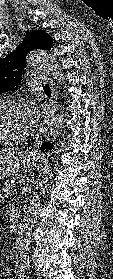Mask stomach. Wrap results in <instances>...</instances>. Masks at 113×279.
<instances>
[{
    "label": "stomach",
    "instance_id": "0dacf381",
    "mask_svg": "<svg viewBox=\"0 0 113 279\" xmlns=\"http://www.w3.org/2000/svg\"><path fill=\"white\" fill-rule=\"evenodd\" d=\"M40 162V156L35 152L13 150L0 151V181L16 173L20 168H34Z\"/></svg>",
    "mask_w": 113,
    "mask_h": 279
}]
</instances>
